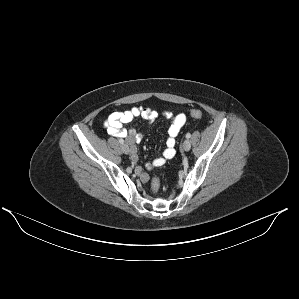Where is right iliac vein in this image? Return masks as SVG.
Wrapping results in <instances>:
<instances>
[{
	"mask_svg": "<svg viewBox=\"0 0 299 299\" xmlns=\"http://www.w3.org/2000/svg\"><path fill=\"white\" fill-rule=\"evenodd\" d=\"M121 149L125 154L130 153V149H129L128 145H126V144H122Z\"/></svg>",
	"mask_w": 299,
	"mask_h": 299,
	"instance_id": "obj_1",
	"label": "right iliac vein"
}]
</instances>
